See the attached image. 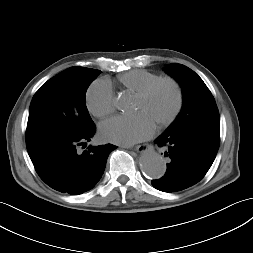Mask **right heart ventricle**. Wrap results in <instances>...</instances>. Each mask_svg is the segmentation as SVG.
Wrapping results in <instances>:
<instances>
[{
	"instance_id": "right-heart-ventricle-1",
	"label": "right heart ventricle",
	"mask_w": 253,
	"mask_h": 253,
	"mask_svg": "<svg viewBox=\"0 0 253 253\" xmlns=\"http://www.w3.org/2000/svg\"><path fill=\"white\" fill-rule=\"evenodd\" d=\"M160 78L159 75L143 69H135L118 76V83L128 91L138 93L146 85Z\"/></svg>"
}]
</instances>
